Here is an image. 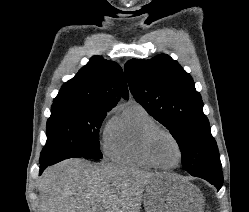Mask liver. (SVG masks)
<instances>
[{"label":"liver","instance_id":"obj_1","mask_svg":"<svg viewBox=\"0 0 249 212\" xmlns=\"http://www.w3.org/2000/svg\"><path fill=\"white\" fill-rule=\"evenodd\" d=\"M171 174L71 158L44 170L37 182L40 212H140L144 188Z\"/></svg>","mask_w":249,"mask_h":212}]
</instances>
